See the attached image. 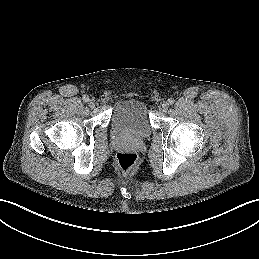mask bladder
<instances>
[{"label":"bladder","mask_w":259,"mask_h":259,"mask_svg":"<svg viewBox=\"0 0 259 259\" xmlns=\"http://www.w3.org/2000/svg\"><path fill=\"white\" fill-rule=\"evenodd\" d=\"M111 128L118 134L148 136L152 126L147 103L135 97L122 99L112 112Z\"/></svg>","instance_id":"1"}]
</instances>
